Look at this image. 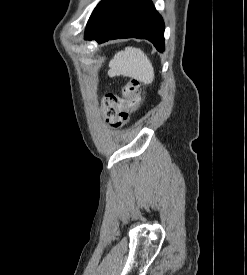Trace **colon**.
<instances>
[{
    "label": "colon",
    "mask_w": 247,
    "mask_h": 275,
    "mask_svg": "<svg viewBox=\"0 0 247 275\" xmlns=\"http://www.w3.org/2000/svg\"><path fill=\"white\" fill-rule=\"evenodd\" d=\"M122 97L108 94L103 100L107 123L112 127H122L129 123L130 116L140 104V84L136 80L128 82Z\"/></svg>",
    "instance_id": "colon-1"
}]
</instances>
